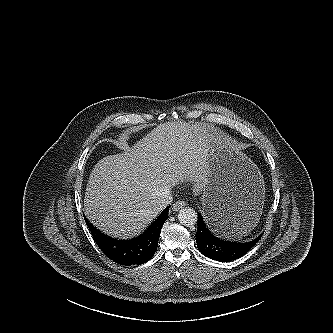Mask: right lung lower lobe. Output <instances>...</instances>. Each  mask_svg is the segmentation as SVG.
Listing matches in <instances>:
<instances>
[{"label":"right lung lower lobe","mask_w":333,"mask_h":333,"mask_svg":"<svg viewBox=\"0 0 333 333\" xmlns=\"http://www.w3.org/2000/svg\"><path fill=\"white\" fill-rule=\"evenodd\" d=\"M169 207H167L149 228L140 236L131 240H117L101 233L87 218L86 224L98 247L103 253L120 265L144 264L149 261L158 246V240L163 223L168 219Z\"/></svg>","instance_id":"98d812e1"}]
</instances>
